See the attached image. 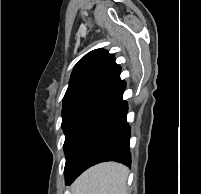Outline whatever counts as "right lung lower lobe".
Wrapping results in <instances>:
<instances>
[{"instance_id":"98d812e1","label":"right lung lower lobe","mask_w":201,"mask_h":194,"mask_svg":"<svg viewBox=\"0 0 201 194\" xmlns=\"http://www.w3.org/2000/svg\"><path fill=\"white\" fill-rule=\"evenodd\" d=\"M126 83L120 82L85 105L65 133V180L71 184L92 165L104 161L131 164L130 127L126 122Z\"/></svg>"}]
</instances>
